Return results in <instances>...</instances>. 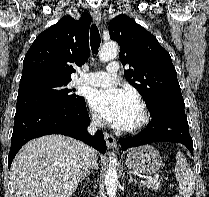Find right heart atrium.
Listing matches in <instances>:
<instances>
[{"label":"right heart atrium","mask_w":209,"mask_h":197,"mask_svg":"<svg viewBox=\"0 0 209 197\" xmlns=\"http://www.w3.org/2000/svg\"><path fill=\"white\" fill-rule=\"evenodd\" d=\"M91 119H92L93 124H95V125H101V119H100V117L98 115L93 114L91 116Z\"/></svg>","instance_id":"right-heart-atrium-1"}]
</instances>
